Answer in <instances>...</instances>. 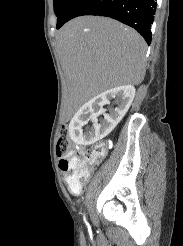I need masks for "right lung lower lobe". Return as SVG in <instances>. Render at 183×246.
<instances>
[{"mask_svg":"<svg viewBox=\"0 0 183 246\" xmlns=\"http://www.w3.org/2000/svg\"><path fill=\"white\" fill-rule=\"evenodd\" d=\"M156 6V0H79L68 18L56 27L59 29L65 22L78 16H106L136 29L149 45Z\"/></svg>","mask_w":183,"mask_h":246,"instance_id":"1","label":"right lung lower lobe"}]
</instances>
